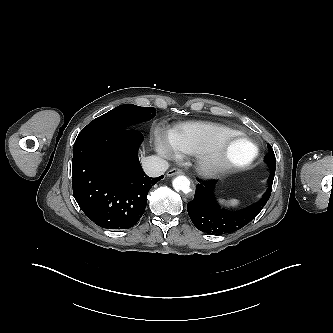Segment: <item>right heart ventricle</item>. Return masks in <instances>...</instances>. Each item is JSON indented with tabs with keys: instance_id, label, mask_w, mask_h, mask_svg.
I'll use <instances>...</instances> for the list:
<instances>
[{
	"instance_id": "obj_1",
	"label": "right heart ventricle",
	"mask_w": 333,
	"mask_h": 333,
	"mask_svg": "<svg viewBox=\"0 0 333 333\" xmlns=\"http://www.w3.org/2000/svg\"><path fill=\"white\" fill-rule=\"evenodd\" d=\"M234 133V130L222 124L193 121L174 127L170 132V138L180 153L199 154L221 137Z\"/></svg>"
}]
</instances>
